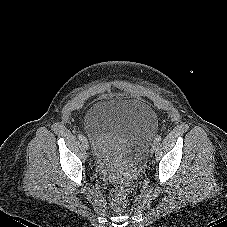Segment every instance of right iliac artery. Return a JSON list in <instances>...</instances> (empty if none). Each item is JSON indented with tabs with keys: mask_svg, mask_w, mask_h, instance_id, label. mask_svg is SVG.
<instances>
[{
	"mask_svg": "<svg viewBox=\"0 0 227 227\" xmlns=\"http://www.w3.org/2000/svg\"><path fill=\"white\" fill-rule=\"evenodd\" d=\"M78 138H79V140L82 141L84 139V136L83 135H79Z\"/></svg>",
	"mask_w": 227,
	"mask_h": 227,
	"instance_id": "right-iliac-artery-1",
	"label": "right iliac artery"
}]
</instances>
